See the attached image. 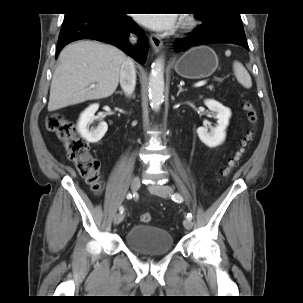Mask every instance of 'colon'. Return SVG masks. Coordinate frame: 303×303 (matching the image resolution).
I'll use <instances>...</instances> for the list:
<instances>
[{
	"mask_svg": "<svg viewBox=\"0 0 303 303\" xmlns=\"http://www.w3.org/2000/svg\"><path fill=\"white\" fill-rule=\"evenodd\" d=\"M250 122V129L242 138L239 150L231 157L228 164L221 170V176L228 177L240 164L246 154L249 144L255 138L256 124L258 116L254 105L249 100H244L242 104ZM47 131L57 134L60 141L64 144L68 157L73 161L79 174L87 181L92 190L99 194L103 188V182L99 172V161L90 151L88 144L82 141L78 135L75 126L69 123L59 113L49 115L45 122ZM142 223L151 221V214L148 212L140 215Z\"/></svg>",
	"mask_w": 303,
	"mask_h": 303,
	"instance_id": "5ec220e1",
	"label": "colon"
}]
</instances>
